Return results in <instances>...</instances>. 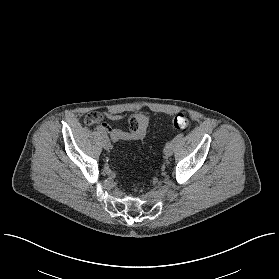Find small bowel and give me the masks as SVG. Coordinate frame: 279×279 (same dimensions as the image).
I'll use <instances>...</instances> for the list:
<instances>
[{
    "instance_id": "1",
    "label": "small bowel",
    "mask_w": 279,
    "mask_h": 279,
    "mask_svg": "<svg viewBox=\"0 0 279 279\" xmlns=\"http://www.w3.org/2000/svg\"><path fill=\"white\" fill-rule=\"evenodd\" d=\"M104 118L111 121H118L123 119L124 116L114 112L90 113L86 116L85 122L88 125H93L100 123ZM126 118L130 125V129L127 131L114 129L107 123H100L99 126L114 142L144 139L148 131V117L144 114H134Z\"/></svg>"
}]
</instances>
